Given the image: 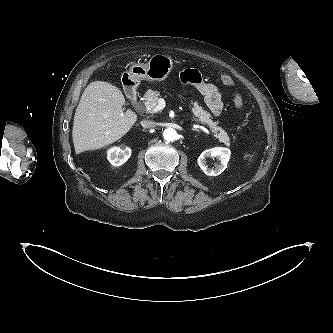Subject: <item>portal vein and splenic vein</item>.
Masks as SVG:
<instances>
[{
	"mask_svg": "<svg viewBox=\"0 0 333 333\" xmlns=\"http://www.w3.org/2000/svg\"><path fill=\"white\" fill-rule=\"evenodd\" d=\"M165 107V100L160 98L158 100V105L156 108L153 110V112H158L159 110H162ZM194 118V117H193ZM195 121L200 122L197 118H194Z\"/></svg>",
	"mask_w": 333,
	"mask_h": 333,
	"instance_id": "18ae733b",
	"label": "portal vein and splenic vein"
}]
</instances>
